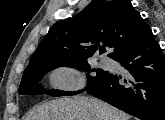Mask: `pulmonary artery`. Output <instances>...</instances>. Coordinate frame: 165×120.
Masks as SVG:
<instances>
[{
  "mask_svg": "<svg viewBox=\"0 0 165 120\" xmlns=\"http://www.w3.org/2000/svg\"><path fill=\"white\" fill-rule=\"evenodd\" d=\"M102 63H103V64H109V61H108V60L103 59V60H102Z\"/></svg>",
  "mask_w": 165,
  "mask_h": 120,
  "instance_id": "1",
  "label": "pulmonary artery"
}]
</instances>
